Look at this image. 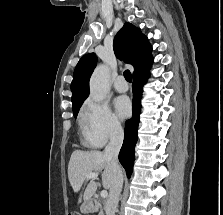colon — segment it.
Returning a JSON list of instances; mask_svg holds the SVG:
<instances>
[{
  "instance_id": "5ec220e1",
  "label": "colon",
  "mask_w": 223,
  "mask_h": 215,
  "mask_svg": "<svg viewBox=\"0 0 223 215\" xmlns=\"http://www.w3.org/2000/svg\"><path fill=\"white\" fill-rule=\"evenodd\" d=\"M68 215H81L79 212L73 211L71 213H69Z\"/></svg>"
}]
</instances>
